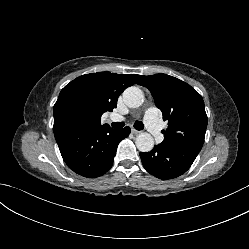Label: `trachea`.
I'll list each match as a JSON object with an SVG mask.
<instances>
[{
    "instance_id": "trachea-1",
    "label": "trachea",
    "mask_w": 249,
    "mask_h": 249,
    "mask_svg": "<svg viewBox=\"0 0 249 249\" xmlns=\"http://www.w3.org/2000/svg\"><path fill=\"white\" fill-rule=\"evenodd\" d=\"M124 125H125L124 122H120V123L113 122V123L111 124V126H112L113 128H122ZM134 128H135L136 130H143V129H144V125H143V123H142L141 121H136V122L134 123Z\"/></svg>"
}]
</instances>
